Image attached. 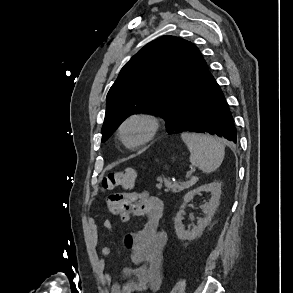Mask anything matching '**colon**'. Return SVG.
Listing matches in <instances>:
<instances>
[{
    "mask_svg": "<svg viewBox=\"0 0 293 293\" xmlns=\"http://www.w3.org/2000/svg\"><path fill=\"white\" fill-rule=\"evenodd\" d=\"M134 169L116 170L109 172L102 180V189L105 191L115 188L131 189L136 182Z\"/></svg>",
    "mask_w": 293,
    "mask_h": 293,
    "instance_id": "obj_1",
    "label": "colon"
}]
</instances>
